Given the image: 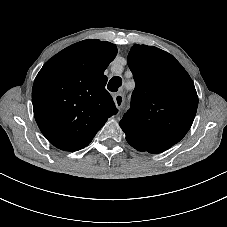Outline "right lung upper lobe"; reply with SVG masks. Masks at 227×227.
I'll use <instances>...</instances> for the list:
<instances>
[{
    "label": "right lung upper lobe",
    "instance_id": "1",
    "mask_svg": "<svg viewBox=\"0 0 227 227\" xmlns=\"http://www.w3.org/2000/svg\"><path fill=\"white\" fill-rule=\"evenodd\" d=\"M116 45L97 39L75 43L47 61L33 84L32 103L38 127L64 151L87 146L107 119L118 112L105 89L104 70Z\"/></svg>",
    "mask_w": 227,
    "mask_h": 227
}]
</instances>
